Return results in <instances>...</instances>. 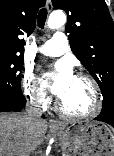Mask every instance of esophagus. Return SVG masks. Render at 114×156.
<instances>
[{
	"label": "esophagus",
	"mask_w": 114,
	"mask_h": 156,
	"mask_svg": "<svg viewBox=\"0 0 114 156\" xmlns=\"http://www.w3.org/2000/svg\"><path fill=\"white\" fill-rule=\"evenodd\" d=\"M46 7H47V10L49 12L52 11L53 6H52L51 0L46 1ZM49 125H50V127H53V128H60L61 127L60 123L55 119H49Z\"/></svg>",
	"instance_id": "34e87169"
}]
</instances>
